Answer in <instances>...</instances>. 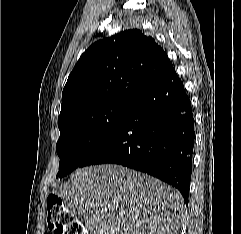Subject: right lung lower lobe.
Listing matches in <instances>:
<instances>
[{
	"mask_svg": "<svg viewBox=\"0 0 241 234\" xmlns=\"http://www.w3.org/2000/svg\"><path fill=\"white\" fill-rule=\"evenodd\" d=\"M194 136L191 102L173 69L132 103L80 167L116 163L148 173L176 187L188 204Z\"/></svg>",
	"mask_w": 241,
	"mask_h": 234,
	"instance_id": "obj_1",
	"label": "right lung lower lobe"
}]
</instances>
